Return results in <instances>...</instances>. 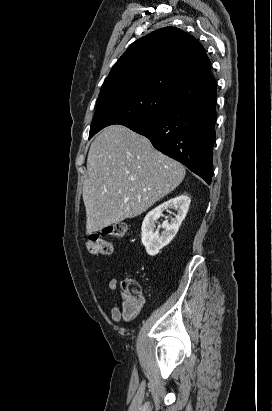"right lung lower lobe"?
Returning <instances> with one entry per match:
<instances>
[{
    "mask_svg": "<svg viewBox=\"0 0 272 411\" xmlns=\"http://www.w3.org/2000/svg\"><path fill=\"white\" fill-rule=\"evenodd\" d=\"M216 99L215 90L127 127L147 137L157 150L181 162L210 184Z\"/></svg>",
    "mask_w": 272,
    "mask_h": 411,
    "instance_id": "1",
    "label": "right lung lower lobe"
}]
</instances>
